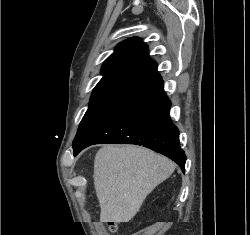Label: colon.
Returning <instances> with one entry per match:
<instances>
[{
    "mask_svg": "<svg viewBox=\"0 0 250 235\" xmlns=\"http://www.w3.org/2000/svg\"><path fill=\"white\" fill-rule=\"evenodd\" d=\"M107 226L112 232L116 231V224L114 222H108Z\"/></svg>",
    "mask_w": 250,
    "mask_h": 235,
    "instance_id": "colon-1",
    "label": "colon"
}]
</instances>
